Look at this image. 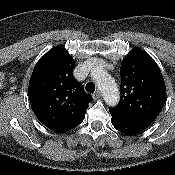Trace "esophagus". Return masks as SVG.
<instances>
[{
  "label": "esophagus",
  "mask_w": 175,
  "mask_h": 175,
  "mask_svg": "<svg viewBox=\"0 0 175 175\" xmlns=\"http://www.w3.org/2000/svg\"><path fill=\"white\" fill-rule=\"evenodd\" d=\"M102 96L101 91L97 90L94 94H93V98L94 99H99Z\"/></svg>",
  "instance_id": "34e87169"
}]
</instances>
